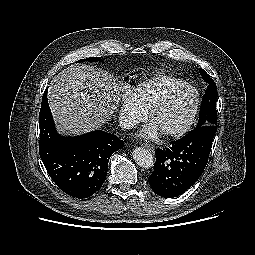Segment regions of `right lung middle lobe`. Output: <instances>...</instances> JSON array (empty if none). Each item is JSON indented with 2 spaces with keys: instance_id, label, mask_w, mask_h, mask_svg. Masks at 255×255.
<instances>
[{
  "instance_id": "1",
  "label": "right lung middle lobe",
  "mask_w": 255,
  "mask_h": 255,
  "mask_svg": "<svg viewBox=\"0 0 255 255\" xmlns=\"http://www.w3.org/2000/svg\"><path fill=\"white\" fill-rule=\"evenodd\" d=\"M101 59H100V57L99 58H97V57H91V58H87L86 59V61H88V62H97V61H100ZM83 61H85V59H81V60H79L78 62H83Z\"/></svg>"
}]
</instances>
